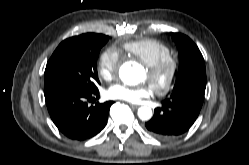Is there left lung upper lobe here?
Here are the masks:
<instances>
[{
	"label": "left lung upper lobe",
	"instance_id": "1",
	"mask_svg": "<svg viewBox=\"0 0 249 165\" xmlns=\"http://www.w3.org/2000/svg\"><path fill=\"white\" fill-rule=\"evenodd\" d=\"M171 36L178 47L180 56V68L172 95L188 91L204 94L206 70L200 50L189 37L181 33H171Z\"/></svg>",
	"mask_w": 249,
	"mask_h": 165
}]
</instances>
